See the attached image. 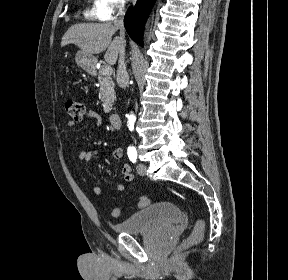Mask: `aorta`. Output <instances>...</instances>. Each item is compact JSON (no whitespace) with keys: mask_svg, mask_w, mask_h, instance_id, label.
I'll list each match as a JSON object with an SVG mask.
<instances>
[{"mask_svg":"<svg viewBox=\"0 0 288 280\" xmlns=\"http://www.w3.org/2000/svg\"><path fill=\"white\" fill-rule=\"evenodd\" d=\"M129 115H126V120H137V115H134V111H129ZM127 126H132V121H127ZM129 136H134V131H129Z\"/></svg>","mask_w":288,"mask_h":280,"instance_id":"aorta-1","label":"aorta"}]
</instances>
